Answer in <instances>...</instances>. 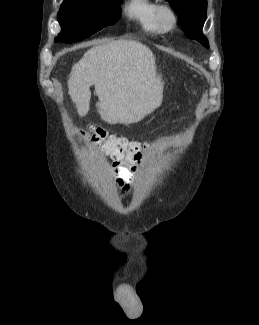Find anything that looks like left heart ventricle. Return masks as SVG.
Returning a JSON list of instances; mask_svg holds the SVG:
<instances>
[{
	"instance_id": "1",
	"label": "left heart ventricle",
	"mask_w": 259,
	"mask_h": 325,
	"mask_svg": "<svg viewBox=\"0 0 259 325\" xmlns=\"http://www.w3.org/2000/svg\"><path fill=\"white\" fill-rule=\"evenodd\" d=\"M164 22H165V24H169V22H170V19H169V17H168V15H165V17H164Z\"/></svg>"
}]
</instances>
